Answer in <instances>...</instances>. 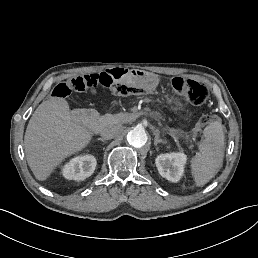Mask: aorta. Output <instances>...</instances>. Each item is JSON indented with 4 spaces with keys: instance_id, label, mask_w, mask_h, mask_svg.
Wrapping results in <instances>:
<instances>
[{
    "instance_id": "1",
    "label": "aorta",
    "mask_w": 258,
    "mask_h": 258,
    "mask_svg": "<svg viewBox=\"0 0 258 258\" xmlns=\"http://www.w3.org/2000/svg\"><path fill=\"white\" fill-rule=\"evenodd\" d=\"M148 140L145 129L141 126H136L131 129L127 134V141L135 148L143 147Z\"/></svg>"
}]
</instances>
